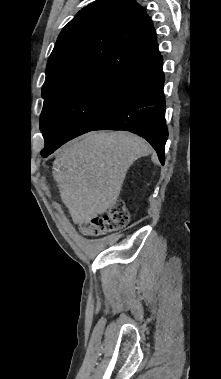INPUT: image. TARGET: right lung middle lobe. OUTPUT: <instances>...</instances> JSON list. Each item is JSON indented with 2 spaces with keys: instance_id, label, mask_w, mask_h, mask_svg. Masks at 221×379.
Listing matches in <instances>:
<instances>
[{
  "instance_id": "right-lung-middle-lobe-1",
  "label": "right lung middle lobe",
  "mask_w": 221,
  "mask_h": 379,
  "mask_svg": "<svg viewBox=\"0 0 221 379\" xmlns=\"http://www.w3.org/2000/svg\"><path fill=\"white\" fill-rule=\"evenodd\" d=\"M120 76H100L43 96L40 129L48 149L93 130L110 109Z\"/></svg>"
}]
</instances>
